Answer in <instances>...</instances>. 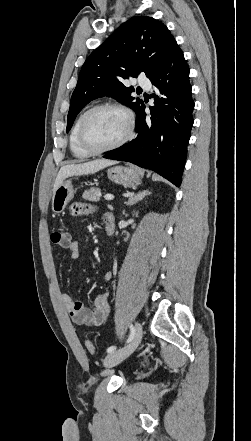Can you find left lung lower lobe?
I'll list each match as a JSON object with an SVG mask.
<instances>
[{"label":"left lung lower lobe","instance_id":"obj_1","mask_svg":"<svg viewBox=\"0 0 251 441\" xmlns=\"http://www.w3.org/2000/svg\"><path fill=\"white\" fill-rule=\"evenodd\" d=\"M150 81L157 88V94L152 95L155 105L149 107L150 119H146L142 103L135 112L136 137L103 157L153 170L179 187L194 122V102L189 67L178 44Z\"/></svg>","mask_w":251,"mask_h":441}]
</instances>
